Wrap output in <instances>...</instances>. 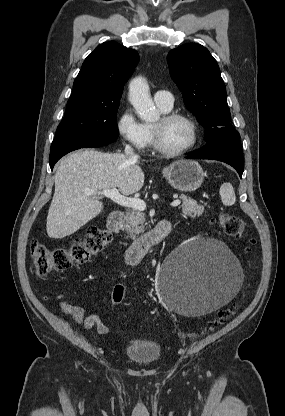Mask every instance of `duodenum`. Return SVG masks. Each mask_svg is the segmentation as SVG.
Segmentation results:
<instances>
[{
	"instance_id": "duodenum-1",
	"label": "duodenum",
	"mask_w": 285,
	"mask_h": 416,
	"mask_svg": "<svg viewBox=\"0 0 285 416\" xmlns=\"http://www.w3.org/2000/svg\"><path fill=\"white\" fill-rule=\"evenodd\" d=\"M123 219L121 211H114L107 220V230L114 237L120 233ZM171 234V225L167 220L159 221L145 236L127 246L122 251L126 268H133L142 257L155 247H160Z\"/></svg>"
}]
</instances>
